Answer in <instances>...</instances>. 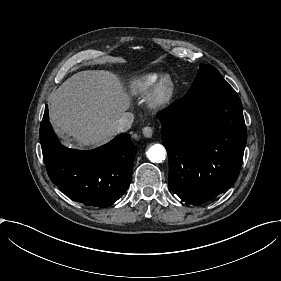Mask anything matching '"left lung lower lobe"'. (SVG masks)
Returning <instances> with one entry per match:
<instances>
[{"mask_svg": "<svg viewBox=\"0 0 281 281\" xmlns=\"http://www.w3.org/2000/svg\"><path fill=\"white\" fill-rule=\"evenodd\" d=\"M157 117L168 153L169 187L181 200L198 206L234 184L247 141L234 90L183 97Z\"/></svg>", "mask_w": 281, "mask_h": 281, "instance_id": "obj_1", "label": "left lung lower lobe"}]
</instances>
